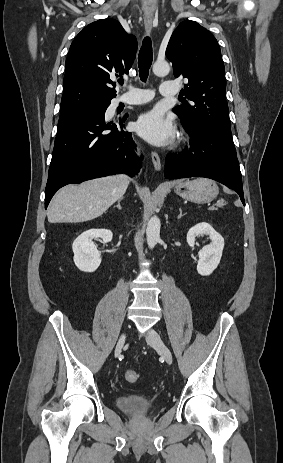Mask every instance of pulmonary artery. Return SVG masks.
Wrapping results in <instances>:
<instances>
[{
  "instance_id": "1",
  "label": "pulmonary artery",
  "mask_w": 283,
  "mask_h": 463,
  "mask_svg": "<svg viewBox=\"0 0 283 463\" xmlns=\"http://www.w3.org/2000/svg\"><path fill=\"white\" fill-rule=\"evenodd\" d=\"M179 88L172 81H163L159 86V93L162 96L174 97L178 94ZM154 93L151 90H144L131 87L129 94H124L116 99V103L141 104L151 100Z\"/></svg>"
}]
</instances>
